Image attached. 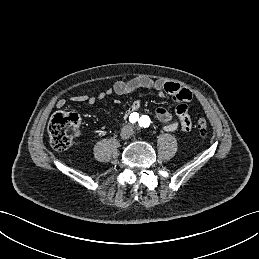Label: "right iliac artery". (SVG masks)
I'll return each mask as SVG.
<instances>
[{"label": "right iliac artery", "instance_id": "1", "mask_svg": "<svg viewBox=\"0 0 259 259\" xmlns=\"http://www.w3.org/2000/svg\"><path fill=\"white\" fill-rule=\"evenodd\" d=\"M139 120V114L136 112H133L130 116H129V121L131 123H135Z\"/></svg>", "mask_w": 259, "mask_h": 259}]
</instances>
